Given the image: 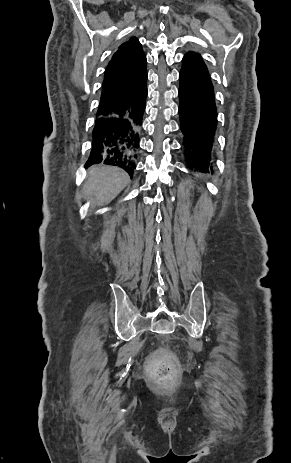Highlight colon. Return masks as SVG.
I'll return each mask as SVG.
<instances>
[{
    "label": "colon",
    "instance_id": "1",
    "mask_svg": "<svg viewBox=\"0 0 291 463\" xmlns=\"http://www.w3.org/2000/svg\"><path fill=\"white\" fill-rule=\"evenodd\" d=\"M149 373L151 378L161 387H169L174 379V368L163 357H153L150 361Z\"/></svg>",
    "mask_w": 291,
    "mask_h": 463
}]
</instances>
